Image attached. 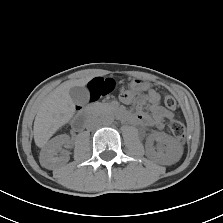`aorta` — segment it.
I'll return each instance as SVG.
<instances>
[{
    "mask_svg": "<svg viewBox=\"0 0 223 223\" xmlns=\"http://www.w3.org/2000/svg\"><path fill=\"white\" fill-rule=\"evenodd\" d=\"M101 121L105 125H110L114 122V115L112 113H105L101 116Z\"/></svg>",
    "mask_w": 223,
    "mask_h": 223,
    "instance_id": "obj_1",
    "label": "aorta"
}]
</instances>
